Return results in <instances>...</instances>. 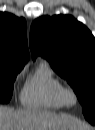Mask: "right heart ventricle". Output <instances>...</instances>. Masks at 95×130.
<instances>
[{"label": "right heart ventricle", "instance_id": "1", "mask_svg": "<svg viewBox=\"0 0 95 130\" xmlns=\"http://www.w3.org/2000/svg\"><path fill=\"white\" fill-rule=\"evenodd\" d=\"M63 84L55 71L46 62H40L28 77L21 93L25 107L61 109L66 105L62 100Z\"/></svg>", "mask_w": 95, "mask_h": 130}]
</instances>
